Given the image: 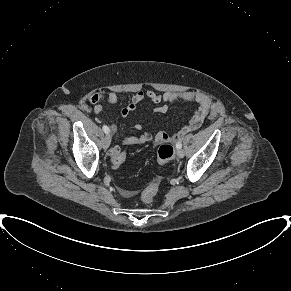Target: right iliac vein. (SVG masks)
I'll return each instance as SVG.
<instances>
[{
    "label": "right iliac vein",
    "mask_w": 291,
    "mask_h": 291,
    "mask_svg": "<svg viewBox=\"0 0 291 291\" xmlns=\"http://www.w3.org/2000/svg\"><path fill=\"white\" fill-rule=\"evenodd\" d=\"M111 143V136L110 134H107L103 140V148L107 149L110 146Z\"/></svg>",
    "instance_id": "1"
}]
</instances>
